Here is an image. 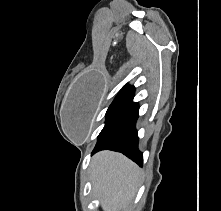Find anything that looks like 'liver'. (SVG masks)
I'll return each instance as SVG.
<instances>
[{"mask_svg":"<svg viewBox=\"0 0 221 211\" xmlns=\"http://www.w3.org/2000/svg\"><path fill=\"white\" fill-rule=\"evenodd\" d=\"M141 176L140 168L123 154L97 153L91 161L93 191L103 211H122L132 202Z\"/></svg>","mask_w":221,"mask_h":211,"instance_id":"1","label":"liver"}]
</instances>
